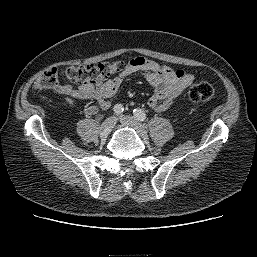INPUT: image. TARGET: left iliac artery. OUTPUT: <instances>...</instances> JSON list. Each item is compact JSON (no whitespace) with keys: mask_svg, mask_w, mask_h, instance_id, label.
Listing matches in <instances>:
<instances>
[{"mask_svg":"<svg viewBox=\"0 0 257 257\" xmlns=\"http://www.w3.org/2000/svg\"><path fill=\"white\" fill-rule=\"evenodd\" d=\"M134 116L139 120V121H145L146 120V114L144 113L143 110L141 109H134L133 110Z\"/></svg>","mask_w":257,"mask_h":257,"instance_id":"1","label":"left iliac artery"}]
</instances>
